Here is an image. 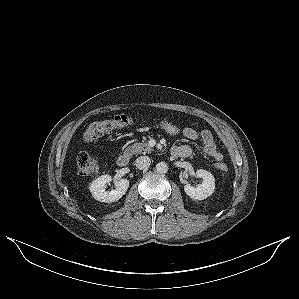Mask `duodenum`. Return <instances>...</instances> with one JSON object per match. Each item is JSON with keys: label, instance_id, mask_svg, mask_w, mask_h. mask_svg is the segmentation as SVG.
Returning <instances> with one entry per match:
<instances>
[{"label": "duodenum", "instance_id": "1", "mask_svg": "<svg viewBox=\"0 0 299 299\" xmlns=\"http://www.w3.org/2000/svg\"><path fill=\"white\" fill-rule=\"evenodd\" d=\"M129 162H130L129 152H124L117 158V165L121 168L128 166Z\"/></svg>", "mask_w": 299, "mask_h": 299}]
</instances>
